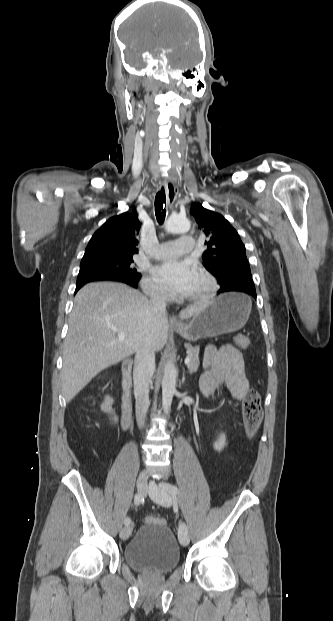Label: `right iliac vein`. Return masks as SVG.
<instances>
[{
  "label": "right iliac vein",
  "instance_id": "63e3f726",
  "mask_svg": "<svg viewBox=\"0 0 333 621\" xmlns=\"http://www.w3.org/2000/svg\"><path fill=\"white\" fill-rule=\"evenodd\" d=\"M137 490L140 494H145L147 491V476L145 472H141L137 478ZM133 526L132 524L125 526L120 531V538L122 540H126L130 537L132 533Z\"/></svg>",
  "mask_w": 333,
  "mask_h": 621
}]
</instances>
